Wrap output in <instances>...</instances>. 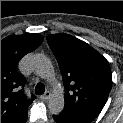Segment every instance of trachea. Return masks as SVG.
Returning <instances> with one entry per match:
<instances>
[{"label": "trachea", "mask_w": 123, "mask_h": 123, "mask_svg": "<svg viewBox=\"0 0 123 123\" xmlns=\"http://www.w3.org/2000/svg\"><path fill=\"white\" fill-rule=\"evenodd\" d=\"M44 92H45V87H44V85L41 84V83H38V84L36 85V87H35V93H36L37 95H41V94H43Z\"/></svg>", "instance_id": "1"}]
</instances>
